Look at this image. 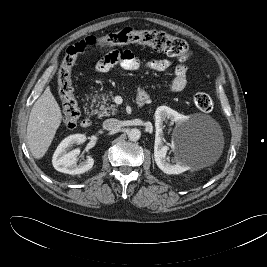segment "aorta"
Returning <instances> with one entry per match:
<instances>
[{
  "label": "aorta",
  "instance_id": "762f6f07",
  "mask_svg": "<svg viewBox=\"0 0 267 267\" xmlns=\"http://www.w3.org/2000/svg\"><path fill=\"white\" fill-rule=\"evenodd\" d=\"M127 135H128L129 140H131V141H137L141 137V132H140L139 129L133 128V129H130L128 131V134Z\"/></svg>",
  "mask_w": 267,
  "mask_h": 267
}]
</instances>
